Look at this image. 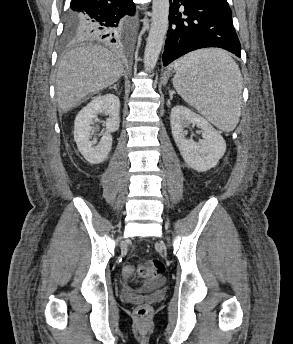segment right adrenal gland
<instances>
[{
	"label": "right adrenal gland",
	"mask_w": 293,
	"mask_h": 344,
	"mask_svg": "<svg viewBox=\"0 0 293 344\" xmlns=\"http://www.w3.org/2000/svg\"><path fill=\"white\" fill-rule=\"evenodd\" d=\"M117 86H118V83L112 87H110V89H115L117 91Z\"/></svg>",
	"instance_id": "1"
}]
</instances>
